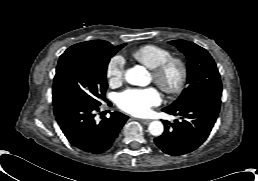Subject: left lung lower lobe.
I'll list each match as a JSON object with an SVG mask.
<instances>
[{
  "mask_svg": "<svg viewBox=\"0 0 258 181\" xmlns=\"http://www.w3.org/2000/svg\"><path fill=\"white\" fill-rule=\"evenodd\" d=\"M221 100L205 98L178 108H164L171 115L181 116L174 123L163 121L164 133L155 138L159 149L171 156H179L198 148L210 134L218 117Z\"/></svg>",
  "mask_w": 258,
  "mask_h": 181,
  "instance_id": "left-lung-lower-lobe-1",
  "label": "left lung lower lobe"
}]
</instances>
